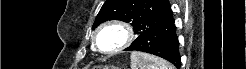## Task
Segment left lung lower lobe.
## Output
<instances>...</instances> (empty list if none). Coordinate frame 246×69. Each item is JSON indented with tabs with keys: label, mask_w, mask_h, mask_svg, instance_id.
<instances>
[{
	"label": "left lung lower lobe",
	"mask_w": 246,
	"mask_h": 69,
	"mask_svg": "<svg viewBox=\"0 0 246 69\" xmlns=\"http://www.w3.org/2000/svg\"><path fill=\"white\" fill-rule=\"evenodd\" d=\"M178 48L179 41L172 16L169 20L146 29L125 50H137L157 55L180 68L181 62Z\"/></svg>",
	"instance_id": "obj_1"
}]
</instances>
